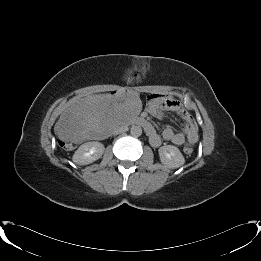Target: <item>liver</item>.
<instances>
[{"mask_svg": "<svg viewBox=\"0 0 261 261\" xmlns=\"http://www.w3.org/2000/svg\"><path fill=\"white\" fill-rule=\"evenodd\" d=\"M139 110L137 93L120 91L95 94L80 99L64 111L54 126L57 136L74 143L97 138L108 129H118L133 118Z\"/></svg>", "mask_w": 261, "mask_h": 261, "instance_id": "1", "label": "liver"}]
</instances>
